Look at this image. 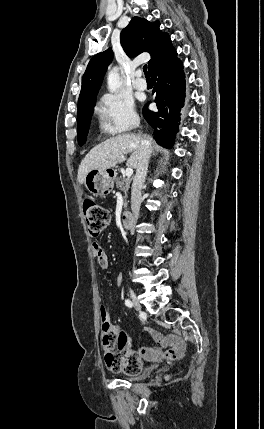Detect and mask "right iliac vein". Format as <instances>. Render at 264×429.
Instances as JSON below:
<instances>
[{
  "label": "right iliac vein",
  "instance_id": "1",
  "mask_svg": "<svg viewBox=\"0 0 264 429\" xmlns=\"http://www.w3.org/2000/svg\"><path fill=\"white\" fill-rule=\"evenodd\" d=\"M129 292H130V296H131L132 302L135 305V310H138L137 312L140 314L142 311L140 310L141 306H140L139 300L136 297V295H135V293H134V291L132 289H130Z\"/></svg>",
  "mask_w": 264,
  "mask_h": 429
}]
</instances>
